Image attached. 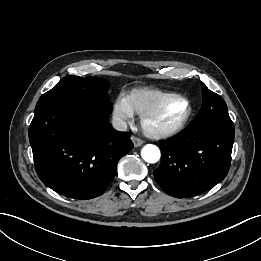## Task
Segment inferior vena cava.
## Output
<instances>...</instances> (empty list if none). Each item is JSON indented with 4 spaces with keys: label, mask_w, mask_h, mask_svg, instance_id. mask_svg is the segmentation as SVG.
Masks as SVG:
<instances>
[{
    "label": "inferior vena cava",
    "mask_w": 261,
    "mask_h": 261,
    "mask_svg": "<svg viewBox=\"0 0 261 261\" xmlns=\"http://www.w3.org/2000/svg\"><path fill=\"white\" fill-rule=\"evenodd\" d=\"M113 128L117 131H126L127 123L118 116H113L112 119Z\"/></svg>",
    "instance_id": "1"
}]
</instances>
